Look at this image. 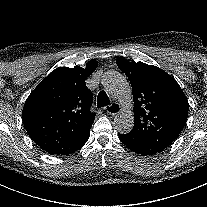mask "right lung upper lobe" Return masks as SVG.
<instances>
[{
  "instance_id": "obj_1",
  "label": "right lung upper lobe",
  "mask_w": 207,
  "mask_h": 207,
  "mask_svg": "<svg viewBox=\"0 0 207 207\" xmlns=\"http://www.w3.org/2000/svg\"><path fill=\"white\" fill-rule=\"evenodd\" d=\"M97 65L91 60L85 69L57 68L28 96L22 112L23 124L45 152L68 155L87 142L95 114L90 110L93 95L85 80Z\"/></svg>"
}]
</instances>
